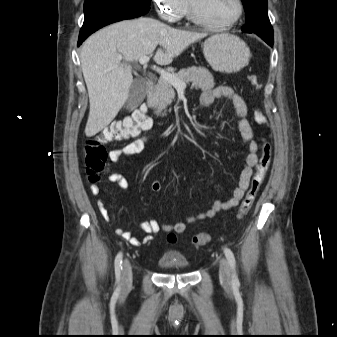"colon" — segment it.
<instances>
[{
  "instance_id": "obj_1",
  "label": "colon",
  "mask_w": 337,
  "mask_h": 337,
  "mask_svg": "<svg viewBox=\"0 0 337 337\" xmlns=\"http://www.w3.org/2000/svg\"><path fill=\"white\" fill-rule=\"evenodd\" d=\"M250 83L256 90H259L262 87V82L255 75L250 76ZM253 120L259 126L267 124L264 112L260 108H255L253 110ZM150 125L151 122L149 117L143 112H140L139 114L134 115L133 118L126 117L122 120L115 121L108 128L102 130L95 136L88 138L84 150L86 174L89 181L91 183H98L100 180V174L104 169L108 157L106 144L120 142L135 137L142 129L149 128ZM270 161L271 146L266 140L262 139L259 160L255 166V172L251 178L249 188L238 209V218L244 217L251 209L269 169ZM167 239L169 242H175L176 236L174 233L170 232ZM210 240V234L200 232L193 237V244L196 247H200L207 244Z\"/></svg>"
}]
</instances>
